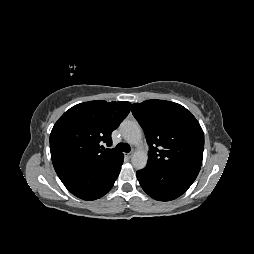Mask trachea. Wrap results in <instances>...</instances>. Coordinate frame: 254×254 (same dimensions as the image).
Returning <instances> with one entry per match:
<instances>
[{"label": "trachea", "instance_id": "3493384b", "mask_svg": "<svg viewBox=\"0 0 254 254\" xmlns=\"http://www.w3.org/2000/svg\"><path fill=\"white\" fill-rule=\"evenodd\" d=\"M116 150L117 151H120V152H130L131 148L128 144L126 143H119L117 146H116Z\"/></svg>", "mask_w": 254, "mask_h": 254}]
</instances>
